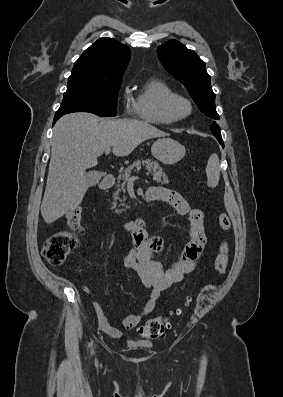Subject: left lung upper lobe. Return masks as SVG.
<instances>
[{
	"instance_id": "left-lung-upper-lobe-1",
	"label": "left lung upper lobe",
	"mask_w": 283,
	"mask_h": 397,
	"mask_svg": "<svg viewBox=\"0 0 283 397\" xmlns=\"http://www.w3.org/2000/svg\"><path fill=\"white\" fill-rule=\"evenodd\" d=\"M164 68L177 78L188 90L198 108L208 117L219 119L215 108V94L211 88L210 75L198 55L176 40H170L157 49ZM213 135L221 136L216 122L210 126Z\"/></svg>"
}]
</instances>
